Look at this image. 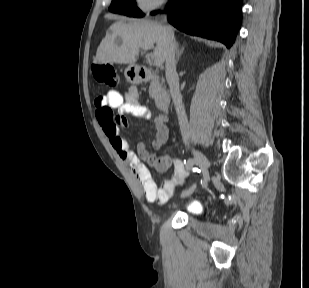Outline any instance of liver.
<instances>
[{
    "instance_id": "liver-1",
    "label": "liver",
    "mask_w": 309,
    "mask_h": 288,
    "mask_svg": "<svg viewBox=\"0 0 309 288\" xmlns=\"http://www.w3.org/2000/svg\"><path fill=\"white\" fill-rule=\"evenodd\" d=\"M121 39L118 44L117 39ZM156 44L153 55L162 61L166 58L167 37L164 27L154 21L120 19L113 23L101 41L95 63L134 64L139 49Z\"/></svg>"
}]
</instances>
